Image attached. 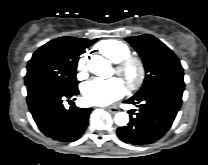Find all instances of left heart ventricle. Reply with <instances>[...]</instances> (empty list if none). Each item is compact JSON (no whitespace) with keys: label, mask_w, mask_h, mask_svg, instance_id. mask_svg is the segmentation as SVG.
I'll list each match as a JSON object with an SVG mask.
<instances>
[{"label":"left heart ventricle","mask_w":208,"mask_h":165,"mask_svg":"<svg viewBox=\"0 0 208 165\" xmlns=\"http://www.w3.org/2000/svg\"><path fill=\"white\" fill-rule=\"evenodd\" d=\"M134 74H135V68H131L130 70H129V76H134Z\"/></svg>","instance_id":"1"}]
</instances>
